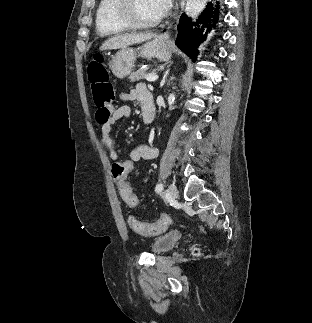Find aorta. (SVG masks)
Here are the masks:
<instances>
[{"label": "aorta", "instance_id": "1", "mask_svg": "<svg viewBox=\"0 0 312 323\" xmlns=\"http://www.w3.org/2000/svg\"><path fill=\"white\" fill-rule=\"evenodd\" d=\"M170 96H174V94H170Z\"/></svg>", "mask_w": 312, "mask_h": 323}]
</instances>
